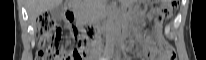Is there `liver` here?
Returning <instances> with one entry per match:
<instances>
[{
	"mask_svg": "<svg viewBox=\"0 0 206 60\" xmlns=\"http://www.w3.org/2000/svg\"><path fill=\"white\" fill-rule=\"evenodd\" d=\"M63 0H27L29 19L35 25L40 14L52 10L62 4Z\"/></svg>",
	"mask_w": 206,
	"mask_h": 60,
	"instance_id": "liver-1",
	"label": "liver"
}]
</instances>
